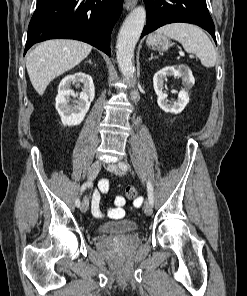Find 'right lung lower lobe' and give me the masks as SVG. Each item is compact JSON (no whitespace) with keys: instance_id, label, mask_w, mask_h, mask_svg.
I'll return each instance as SVG.
<instances>
[{"instance_id":"obj_1","label":"right lung lower lobe","mask_w":247,"mask_h":296,"mask_svg":"<svg viewBox=\"0 0 247 296\" xmlns=\"http://www.w3.org/2000/svg\"><path fill=\"white\" fill-rule=\"evenodd\" d=\"M123 0H37L28 27L24 55L35 43L68 38L110 51V36Z\"/></svg>"}]
</instances>
